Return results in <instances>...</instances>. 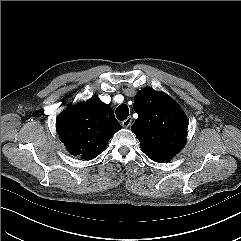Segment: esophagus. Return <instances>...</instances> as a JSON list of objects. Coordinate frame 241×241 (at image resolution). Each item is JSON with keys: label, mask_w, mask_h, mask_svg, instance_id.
I'll use <instances>...</instances> for the list:
<instances>
[{"label": "esophagus", "mask_w": 241, "mask_h": 241, "mask_svg": "<svg viewBox=\"0 0 241 241\" xmlns=\"http://www.w3.org/2000/svg\"><path fill=\"white\" fill-rule=\"evenodd\" d=\"M132 123V118L131 117H128L127 119L123 120L121 122V125L124 127V128H128Z\"/></svg>", "instance_id": "1"}]
</instances>
